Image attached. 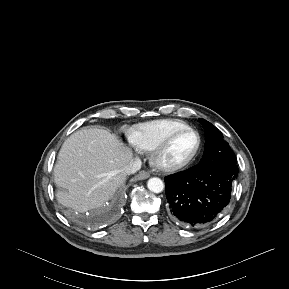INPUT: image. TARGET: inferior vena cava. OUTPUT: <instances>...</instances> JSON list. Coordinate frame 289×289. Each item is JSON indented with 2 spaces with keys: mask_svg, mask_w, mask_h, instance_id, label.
Returning a JSON list of instances; mask_svg holds the SVG:
<instances>
[{
  "mask_svg": "<svg viewBox=\"0 0 289 289\" xmlns=\"http://www.w3.org/2000/svg\"><path fill=\"white\" fill-rule=\"evenodd\" d=\"M141 168V160L138 158H134L130 161V163L123 169V172L126 175L134 174Z\"/></svg>",
  "mask_w": 289,
  "mask_h": 289,
  "instance_id": "inferior-vena-cava-1",
  "label": "inferior vena cava"
}]
</instances>
